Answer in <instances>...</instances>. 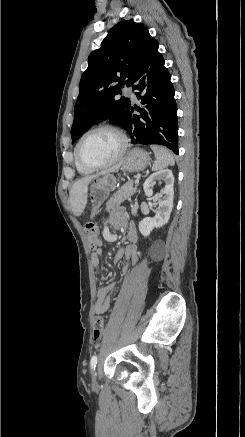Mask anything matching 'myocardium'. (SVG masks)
Returning a JSON list of instances; mask_svg holds the SVG:
<instances>
[{"instance_id":"1","label":"myocardium","mask_w":245,"mask_h":437,"mask_svg":"<svg viewBox=\"0 0 245 437\" xmlns=\"http://www.w3.org/2000/svg\"><path fill=\"white\" fill-rule=\"evenodd\" d=\"M98 130L113 131L114 133H116L120 137V140H121V148H120L118 154L112 160H110L106 163H102V164L90 163V162L86 161L82 157V154H81V145H82V142L84 141V139L89 134H91L95 131H98ZM128 148H129V140H128L126 133L116 125L104 123V124H98L96 126L89 128L80 136V138L76 144L75 154L77 156V159L79 160V162L82 165H84L85 167L91 168L93 170H97V169H104V168L111 167V166L115 165L116 163H118L119 161H121L124 158L125 154L127 153Z\"/></svg>"}]
</instances>
